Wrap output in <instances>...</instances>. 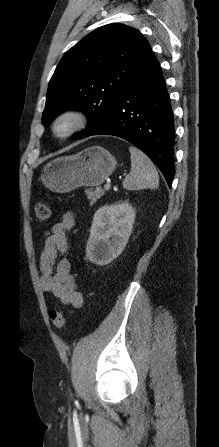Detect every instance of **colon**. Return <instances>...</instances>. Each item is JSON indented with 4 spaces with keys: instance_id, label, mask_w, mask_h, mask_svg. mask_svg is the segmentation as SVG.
<instances>
[{
    "instance_id": "obj_1",
    "label": "colon",
    "mask_w": 219,
    "mask_h": 447,
    "mask_svg": "<svg viewBox=\"0 0 219 447\" xmlns=\"http://www.w3.org/2000/svg\"><path fill=\"white\" fill-rule=\"evenodd\" d=\"M50 216V207L46 202H38L35 206V218L40 224L47 222ZM52 324L61 329L65 325V313L62 309H53L49 313Z\"/></svg>"
}]
</instances>
